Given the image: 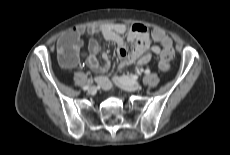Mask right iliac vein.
<instances>
[{
	"label": "right iliac vein",
	"instance_id": "obj_1",
	"mask_svg": "<svg viewBox=\"0 0 230 155\" xmlns=\"http://www.w3.org/2000/svg\"><path fill=\"white\" fill-rule=\"evenodd\" d=\"M87 92H88V94H95L96 93V87L95 86L89 87Z\"/></svg>",
	"mask_w": 230,
	"mask_h": 155
}]
</instances>
